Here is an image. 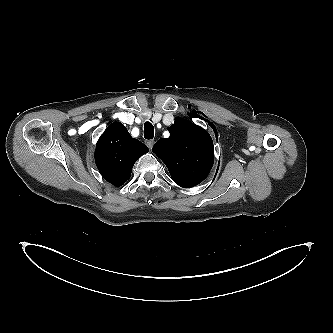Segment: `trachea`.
Returning a JSON list of instances; mask_svg holds the SVG:
<instances>
[{
    "mask_svg": "<svg viewBox=\"0 0 333 333\" xmlns=\"http://www.w3.org/2000/svg\"><path fill=\"white\" fill-rule=\"evenodd\" d=\"M154 137V128L150 122H145L144 124V138L145 139H152Z\"/></svg>",
    "mask_w": 333,
    "mask_h": 333,
    "instance_id": "trachea-1",
    "label": "trachea"
}]
</instances>
